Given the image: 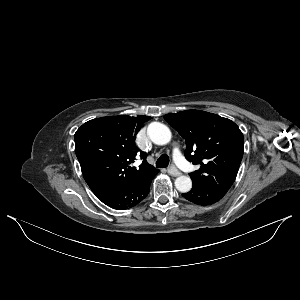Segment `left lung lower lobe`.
<instances>
[{
	"label": "left lung lower lobe",
	"mask_w": 300,
	"mask_h": 300,
	"mask_svg": "<svg viewBox=\"0 0 300 300\" xmlns=\"http://www.w3.org/2000/svg\"><path fill=\"white\" fill-rule=\"evenodd\" d=\"M226 191L220 189H214L206 186H201L193 183L192 189L188 193L182 194V196L198 205H210L220 200Z\"/></svg>",
	"instance_id": "obj_1"
}]
</instances>
